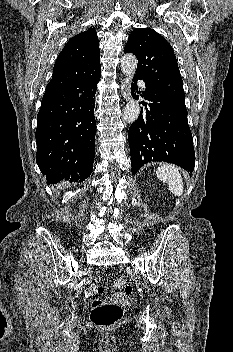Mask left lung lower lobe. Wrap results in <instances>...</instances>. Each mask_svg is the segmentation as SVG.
<instances>
[{
	"mask_svg": "<svg viewBox=\"0 0 233 352\" xmlns=\"http://www.w3.org/2000/svg\"><path fill=\"white\" fill-rule=\"evenodd\" d=\"M139 78L134 76L136 82ZM146 84V108L130 126L128 141L132 174L152 161L174 163L190 172L194 170L195 152L187 120L185 102L172 98L152 85ZM136 83L131 85L134 98H139Z\"/></svg>",
	"mask_w": 233,
	"mask_h": 352,
	"instance_id": "obj_1",
	"label": "left lung lower lobe"
}]
</instances>
